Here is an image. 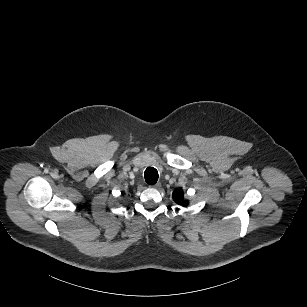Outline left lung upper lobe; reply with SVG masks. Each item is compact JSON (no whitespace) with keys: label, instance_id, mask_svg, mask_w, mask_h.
<instances>
[{"label":"left lung upper lobe","instance_id":"left-lung-upper-lobe-1","mask_svg":"<svg viewBox=\"0 0 307 307\" xmlns=\"http://www.w3.org/2000/svg\"><path fill=\"white\" fill-rule=\"evenodd\" d=\"M173 199L176 203L181 204L183 206L187 205V201L184 199V192L181 188H177L173 192Z\"/></svg>","mask_w":307,"mask_h":307}]
</instances>
